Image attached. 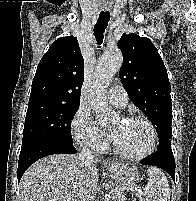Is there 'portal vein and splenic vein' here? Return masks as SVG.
<instances>
[{
  "mask_svg": "<svg viewBox=\"0 0 196 201\" xmlns=\"http://www.w3.org/2000/svg\"><path fill=\"white\" fill-rule=\"evenodd\" d=\"M120 190H126V188H122ZM138 195L141 196V192H139Z\"/></svg>",
  "mask_w": 196,
  "mask_h": 201,
  "instance_id": "1",
  "label": "portal vein and splenic vein"
}]
</instances>
